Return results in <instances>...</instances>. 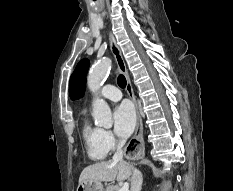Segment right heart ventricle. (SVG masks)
<instances>
[{
	"label": "right heart ventricle",
	"instance_id": "obj_1",
	"mask_svg": "<svg viewBox=\"0 0 233 191\" xmlns=\"http://www.w3.org/2000/svg\"><path fill=\"white\" fill-rule=\"evenodd\" d=\"M101 130L93 126L88 120H85L82 126V137L86 151L88 157L93 161L104 160L108 153L101 143Z\"/></svg>",
	"mask_w": 233,
	"mask_h": 191
}]
</instances>
